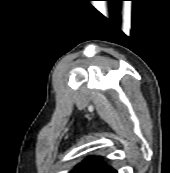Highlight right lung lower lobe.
I'll list each match as a JSON object with an SVG mask.
<instances>
[{"label": "right lung lower lobe", "instance_id": "obj_1", "mask_svg": "<svg viewBox=\"0 0 170 173\" xmlns=\"http://www.w3.org/2000/svg\"><path fill=\"white\" fill-rule=\"evenodd\" d=\"M109 173H117V171L113 169V170L109 171Z\"/></svg>", "mask_w": 170, "mask_h": 173}]
</instances>
